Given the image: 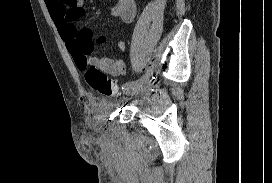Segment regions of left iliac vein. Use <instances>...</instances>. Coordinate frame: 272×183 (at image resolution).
Here are the masks:
<instances>
[{
  "label": "left iliac vein",
  "mask_w": 272,
  "mask_h": 183,
  "mask_svg": "<svg viewBox=\"0 0 272 183\" xmlns=\"http://www.w3.org/2000/svg\"><path fill=\"white\" fill-rule=\"evenodd\" d=\"M150 87H151V83L147 82V84L144 87L130 89V90L126 91V94L127 95H132V96L137 95V94L143 93L144 91H146Z\"/></svg>",
  "instance_id": "1"
}]
</instances>
